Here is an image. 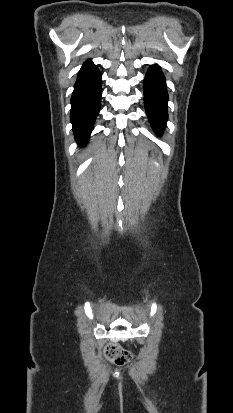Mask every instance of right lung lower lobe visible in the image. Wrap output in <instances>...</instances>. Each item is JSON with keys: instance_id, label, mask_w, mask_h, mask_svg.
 I'll return each mask as SVG.
<instances>
[{"instance_id": "right-lung-lower-lobe-1", "label": "right lung lower lobe", "mask_w": 233, "mask_h": 413, "mask_svg": "<svg viewBox=\"0 0 233 413\" xmlns=\"http://www.w3.org/2000/svg\"><path fill=\"white\" fill-rule=\"evenodd\" d=\"M102 76L98 68L86 61L80 69L71 97V122L76 140L85 144L100 110Z\"/></svg>"}]
</instances>
